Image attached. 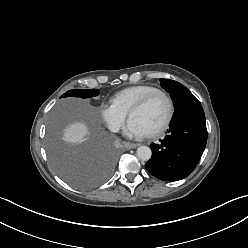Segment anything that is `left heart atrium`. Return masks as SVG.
Returning a JSON list of instances; mask_svg holds the SVG:
<instances>
[{
	"label": "left heart atrium",
	"instance_id": "1",
	"mask_svg": "<svg viewBox=\"0 0 248 248\" xmlns=\"http://www.w3.org/2000/svg\"><path fill=\"white\" fill-rule=\"evenodd\" d=\"M124 133L133 138H142L147 135L146 130L138 122L132 119L128 121Z\"/></svg>",
	"mask_w": 248,
	"mask_h": 248
}]
</instances>
